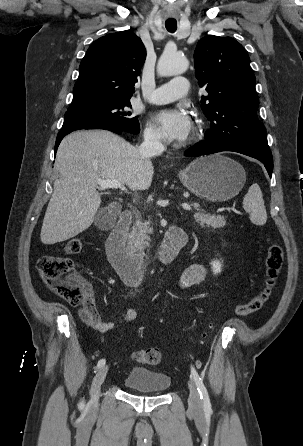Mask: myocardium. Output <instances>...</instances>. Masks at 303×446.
<instances>
[{
	"instance_id": "f54148a6",
	"label": "myocardium",
	"mask_w": 303,
	"mask_h": 446,
	"mask_svg": "<svg viewBox=\"0 0 303 446\" xmlns=\"http://www.w3.org/2000/svg\"><path fill=\"white\" fill-rule=\"evenodd\" d=\"M199 130H200V125H199V124H196V126H195V128H194V130H193L192 136H191V138H190V141H194V140L197 139V137H198V135H199Z\"/></svg>"
}]
</instances>
